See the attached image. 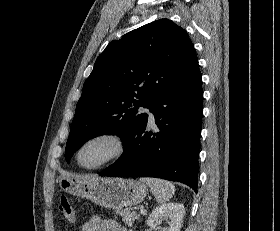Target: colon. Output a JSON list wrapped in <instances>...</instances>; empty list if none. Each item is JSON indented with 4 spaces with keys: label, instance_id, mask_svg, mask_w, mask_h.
<instances>
[{
    "label": "colon",
    "instance_id": "5ec220e1",
    "mask_svg": "<svg viewBox=\"0 0 280 231\" xmlns=\"http://www.w3.org/2000/svg\"><path fill=\"white\" fill-rule=\"evenodd\" d=\"M59 210L66 214L62 215V220H74L75 216L72 215L75 213V208L72 207L71 201L68 196L62 195L58 200Z\"/></svg>",
    "mask_w": 280,
    "mask_h": 231
}]
</instances>
